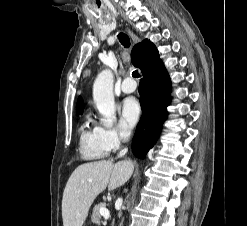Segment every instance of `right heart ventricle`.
I'll return each mask as SVG.
<instances>
[{"mask_svg": "<svg viewBox=\"0 0 247 226\" xmlns=\"http://www.w3.org/2000/svg\"><path fill=\"white\" fill-rule=\"evenodd\" d=\"M79 151L85 160L104 158L109 149L101 138L100 127L86 118L79 129Z\"/></svg>", "mask_w": 247, "mask_h": 226, "instance_id": "e07e8e85", "label": "right heart ventricle"}]
</instances>
